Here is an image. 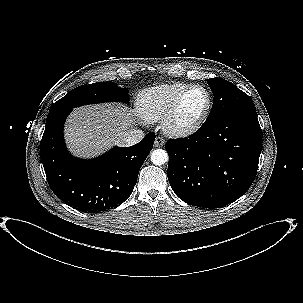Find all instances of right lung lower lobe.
Segmentation results:
<instances>
[{
    "instance_id": "obj_1",
    "label": "right lung lower lobe",
    "mask_w": 303,
    "mask_h": 303,
    "mask_svg": "<svg viewBox=\"0 0 303 303\" xmlns=\"http://www.w3.org/2000/svg\"><path fill=\"white\" fill-rule=\"evenodd\" d=\"M70 112L49 111L46 119L40 149L49 186L63 202L83 212L112 209L131 195L155 134L148 133L131 147H113L101 157L81 160L70 155L63 139Z\"/></svg>"
}]
</instances>
